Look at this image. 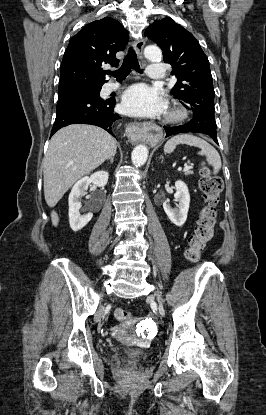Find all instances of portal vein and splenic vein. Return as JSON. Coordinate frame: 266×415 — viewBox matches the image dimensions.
<instances>
[{
    "label": "portal vein and splenic vein",
    "instance_id": "obj_1",
    "mask_svg": "<svg viewBox=\"0 0 266 415\" xmlns=\"http://www.w3.org/2000/svg\"><path fill=\"white\" fill-rule=\"evenodd\" d=\"M190 169H191V166L190 165H185L183 171L186 172V171H188Z\"/></svg>",
    "mask_w": 266,
    "mask_h": 415
}]
</instances>
